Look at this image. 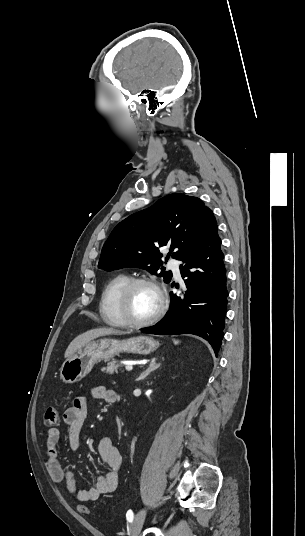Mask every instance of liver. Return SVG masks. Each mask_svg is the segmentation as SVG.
I'll return each instance as SVG.
<instances>
[{
  "label": "liver",
  "mask_w": 305,
  "mask_h": 536,
  "mask_svg": "<svg viewBox=\"0 0 305 536\" xmlns=\"http://www.w3.org/2000/svg\"><path fill=\"white\" fill-rule=\"evenodd\" d=\"M109 334H131V332H121V330H113V328H97V330H89V332H85V334H81V336H77L71 344H69L65 354L64 358H69V356H73L77 350H80V348H83V346H86L88 342H91V340H95V338H100V336H109Z\"/></svg>",
  "instance_id": "1"
}]
</instances>
